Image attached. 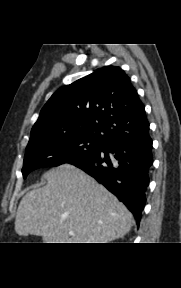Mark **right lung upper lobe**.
Instances as JSON below:
<instances>
[{"label":"right lung upper lobe","mask_w":181,"mask_h":288,"mask_svg":"<svg viewBox=\"0 0 181 288\" xmlns=\"http://www.w3.org/2000/svg\"><path fill=\"white\" fill-rule=\"evenodd\" d=\"M145 108L129 77L106 66L59 88L44 105L30 141L54 134H80L103 143L148 137Z\"/></svg>","instance_id":"cb5924a9"}]
</instances>
